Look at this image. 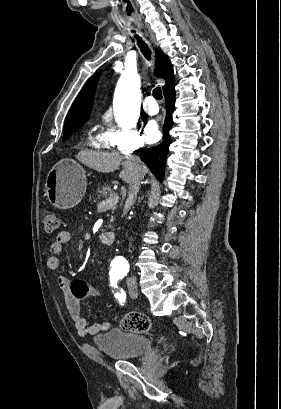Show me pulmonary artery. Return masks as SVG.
<instances>
[{"instance_id":"obj_1","label":"pulmonary artery","mask_w":281,"mask_h":409,"mask_svg":"<svg viewBox=\"0 0 281 409\" xmlns=\"http://www.w3.org/2000/svg\"><path fill=\"white\" fill-rule=\"evenodd\" d=\"M146 100L148 102L144 103V110L147 111L151 115L157 114L159 112L158 103L157 102H151L153 100V97L151 95H148L146 97Z\"/></svg>"}]
</instances>
